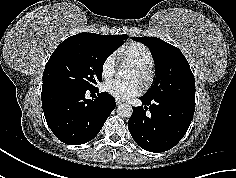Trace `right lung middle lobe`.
<instances>
[{
	"instance_id": "right-lung-middle-lobe-1",
	"label": "right lung middle lobe",
	"mask_w": 236,
	"mask_h": 178,
	"mask_svg": "<svg viewBox=\"0 0 236 178\" xmlns=\"http://www.w3.org/2000/svg\"><path fill=\"white\" fill-rule=\"evenodd\" d=\"M127 35L116 38L100 35H73L64 40L46 63L43 88L66 87L75 90L95 89L102 80L103 64Z\"/></svg>"
}]
</instances>
